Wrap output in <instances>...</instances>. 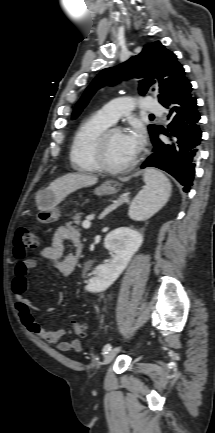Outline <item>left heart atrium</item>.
<instances>
[{
	"mask_svg": "<svg viewBox=\"0 0 215 433\" xmlns=\"http://www.w3.org/2000/svg\"><path fill=\"white\" fill-rule=\"evenodd\" d=\"M125 138L132 152L136 154L140 150L144 141L142 129L137 126L134 127L125 134Z\"/></svg>",
	"mask_w": 215,
	"mask_h": 433,
	"instance_id": "left-heart-atrium-1",
	"label": "left heart atrium"
}]
</instances>
